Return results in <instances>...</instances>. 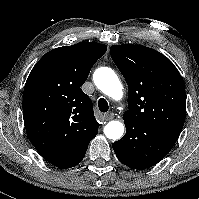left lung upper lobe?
Segmentation results:
<instances>
[{
    "label": "left lung upper lobe",
    "instance_id": "left-lung-upper-lobe-1",
    "mask_svg": "<svg viewBox=\"0 0 199 199\" xmlns=\"http://www.w3.org/2000/svg\"><path fill=\"white\" fill-rule=\"evenodd\" d=\"M110 54L129 88L124 120L134 119L177 140L186 117V93L175 65L141 45H113Z\"/></svg>",
    "mask_w": 199,
    "mask_h": 199
}]
</instances>
